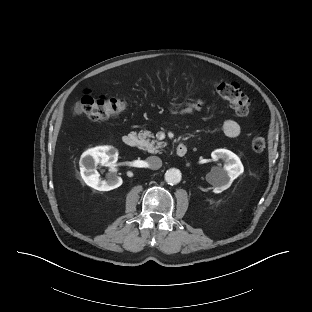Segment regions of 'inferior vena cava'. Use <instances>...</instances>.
Masks as SVG:
<instances>
[{
    "mask_svg": "<svg viewBox=\"0 0 312 312\" xmlns=\"http://www.w3.org/2000/svg\"><path fill=\"white\" fill-rule=\"evenodd\" d=\"M148 166L150 169L157 170L162 166V160L157 156H150L147 158Z\"/></svg>",
    "mask_w": 312,
    "mask_h": 312,
    "instance_id": "1",
    "label": "inferior vena cava"
}]
</instances>
